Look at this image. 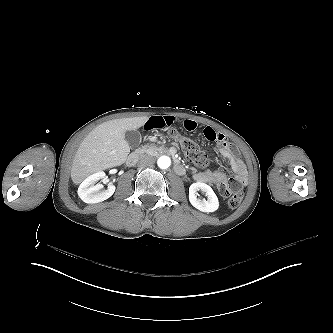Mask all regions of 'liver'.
I'll return each instance as SVG.
<instances>
[{"instance_id": "6515ba94", "label": "liver", "mask_w": 333, "mask_h": 333, "mask_svg": "<svg viewBox=\"0 0 333 333\" xmlns=\"http://www.w3.org/2000/svg\"><path fill=\"white\" fill-rule=\"evenodd\" d=\"M147 120V116L114 119L94 128L75 154L71 168L73 183L80 184L92 173L125 163L130 153L125 132L140 128Z\"/></svg>"}]
</instances>
